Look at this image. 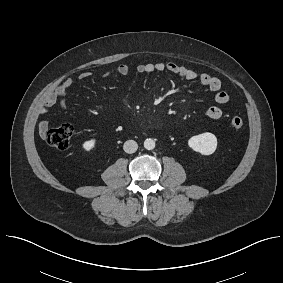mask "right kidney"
Returning <instances> with one entry per match:
<instances>
[{
	"mask_svg": "<svg viewBox=\"0 0 283 283\" xmlns=\"http://www.w3.org/2000/svg\"><path fill=\"white\" fill-rule=\"evenodd\" d=\"M96 145V140L95 139H90V140H87L85 141L83 144H82V147L85 151H90L92 150Z\"/></svg>",
	"mask_w": 283,
	"mask_h": 283,
	"instance_id": "ca27d5eb",
	"label": "right kidney"
}]
</instances>
